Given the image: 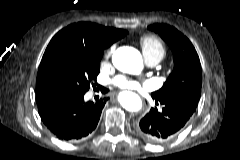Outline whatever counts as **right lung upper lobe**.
Returning a JSON list of instances; mask_svg holds the SVG:
<instances>
[{
    "label": "right lung upper lobe",
    "mask_w": 240,
    "mask_h": 160,
    "mask_svg": "<svg viewBox=\"0 0 240 160\" xmlns=\"http://www.w3.org/2000/svg\"><path fill=\"white\" fill-rule=\"evenodd\" d=\"M126 34L127 31L125 30L103 27L95 23L79 22L71 24L52 38L46 48L43 59L50 55L52 49L61 40L75 43L90 51L103 52L105 48Z\"/></svg>",
    "instance_id": "cb5924a9"
}]
</instances>
